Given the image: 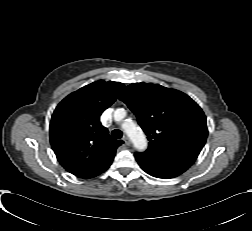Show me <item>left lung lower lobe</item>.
Returning <instances> with one entry per match:
<instances>
[{"label": "left lung lower lobe", "instance_id": "obj_1", "mask_svg": "<svg viewBox=\"0 0 252 231\" xmlns=\"http://www.w3.org/2000/svg\"><path fill=\"white\" fill-rule=\"evenodd\" d=\"M140 167L151 176L157 178H173L185 172L195 158L181 154L135 153Z\"/></svg>", "mask_w": 252, "mask_h": 231}]
</instances>
